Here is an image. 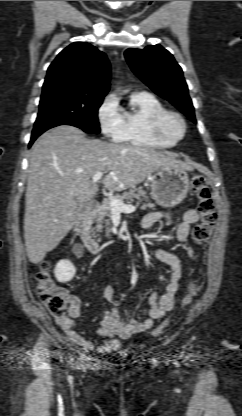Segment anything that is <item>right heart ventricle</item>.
<instances>
[{
    "mask_svg": "<svg viewBox=\"0 0 242 416\" xmlns=\"http://www.w3.org/2000/svg\"><path fill=\"white\" fill-rule=\"evenodd\" d=\"M162 102L145 91L133 92L129 106L122 109L124 127L118 142L151 148H168L174 143L157 138L151 131L150 122L154 114L164 110Z\"/></svg>",
    "mask_w": 242,
    "mask_h": 416,
    "instance_id": "obj_1",
    "label": "right heart ventricle"
}]
</instances>
